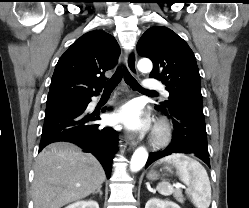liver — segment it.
Segmentation results:
<instances>
[{
    "label": "liver",
    "mask_w": 249,
    "mask_h": 208,
    "mask_svg": "<svg viewBox=\"0 0 249 208\" xmlns=\"http://www.w3.org/2000/svg\"><path fill=\"white\" fill-rule=\"evenodd\" d=\"M99 161L69 142H56L38 155L34 168V208H61L86 198L105 181Z\"/></svg>",
    "instance_id": "liver-1"
}]
</instances>
